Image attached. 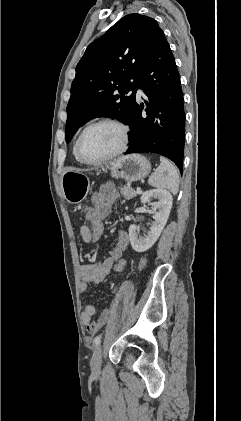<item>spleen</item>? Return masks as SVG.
I'll return each mask as SVG.
<instances>
[{"label":"spleen","mask_w":241,"mask_h":421,"mask_svg":"<svg viewBox=\"0 0 241 421\" xmlns=\"http://www.w3.org/2000/svg\"><path fill=\"white\" fill-rule=\"evenodd\" d=\"M160 166L148 179L152 187L168 189L173 195L179 190V174L175 166L166 158L160 157Z\"/></svg>","instance_id":"spleen-1"}]
</instances>
